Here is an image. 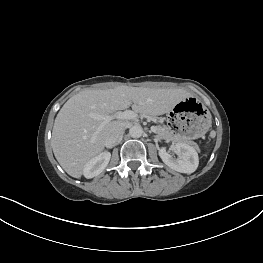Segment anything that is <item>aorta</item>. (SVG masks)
Listing matches in <instances>:
<instances>
[{
	"mask_svg": "<svg viewBox=\"0 0 263 263\" xmlns=\"http://www.w3.org/2000/svg\"><path fill=\"white\" fill-rule=\"evenodd\" d=\"M129 134L131 137L133 138H139L143 135V128L140 125H133L130 129H129Z\"/></svg>",
	"mask_w": 263,
	"mask_h": 263,
	"instance_id": "obj_1",
	"label": "aorta"
}]
</instances>
